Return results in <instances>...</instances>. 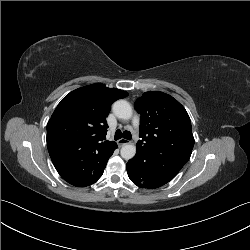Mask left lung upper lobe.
<instances>
[{
    "label": "left lung upper lobe",
    "mask_w": 250,
    "mask_h": 250,
    "mask_svg": "<svg viewBox=\"0 0 250 250\" xmlns=\"http://www.w3.org/2000/svg\"><path fill=\"white\" fill-rule=\"evenodd\" d=\"M141 115L137 150L154 163L180 169L189 160L194 146L191 121L185 108L172 96L149 91L134 104Z\"/></svg>",
    "instance_id": "left-lung-upper-lobe-1"
}]
</instances>
